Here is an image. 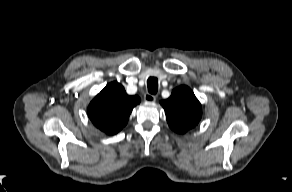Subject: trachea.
Wrapping results in <instances>:
<instances>
[{
  "mask_svg": "<svg viewBox=\"0 0 292 192\" xmlns=\"http://www.w3.org/2000/svg\"><path fill=\"white\" fill-rule=\"evenodd\" d=\"M148 92L151 94H156L158 91V79L155 77H150L147 80Z\"/></svg>",
  "mask_w": 292,
  "mask_h": 192,
  "instance_id": "trachea-1",
  "label": "trachea"
}]
</instances>
